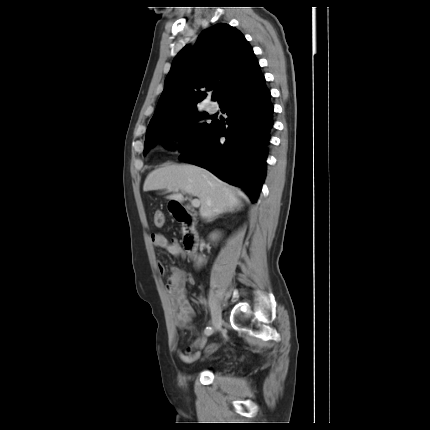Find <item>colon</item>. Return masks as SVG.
Listing matches in <instances>:
<instances>
[{
    "label": "colon",
    "instance_id": "5ec220e1",
    "mask_svg": "<svg viewBox=\"0 0 430 430\" xmlns=\"http://www.w3.org/2000/svg\"><path fill=\"white\" fill-rule=\"evenodd\" d=\"M165 216L161 210H156L154 213V224L158 227H161L164 224ZM216 349V345L212 344L207 347L206 351L208 353L213 352Z\"/></svg>",
    "mask_w": 430,
    "mask_h": 430
}]
</instances>
